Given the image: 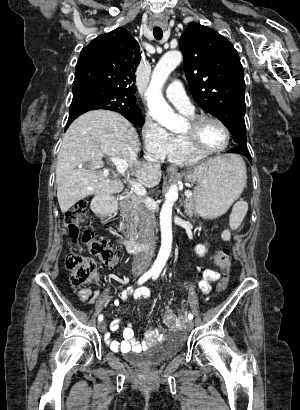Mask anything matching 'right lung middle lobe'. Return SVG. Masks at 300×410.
Returning <instances> with one entry per match:
<instances>
[{
  "mask_svg": "<svg viewBox=\"0 0 300 410\" xmlns=\"http://www.w3.org/2000/svg\"><path fill=\"white\" fill-rule=\"evenodd\" d=\"M126 100L115 92L89 83L73 85V99L67 124L79 115L94 109H108L119 112L130 122L142 126L144 118L139 108L130 111L126 108Z\"/></svg>",
  "mask_w": 300,
  "mask_h": 410,
  "instance_id": "1",
  "label": "right lung middle lobe"
}]
</instances>
